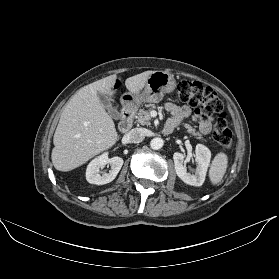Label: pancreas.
Returning <instances> with one entry per match:
<instances>
[{
    "label": "pancreas",
    "instance_id": "pancreas-1",
    "mask_svg": "<svg viewBox=\"0 0 279 279\" xmlns=\"http://www.w3.org/2000/svg\"><path fill=\"white\" fill-rule=\"evenodd\" d=\"M146 107L148 108L147 110L141 109L138 112V115L136 116L137 122L143 126H149L150 120H151V116H150V111L153 109H156V105L155 104H148L146 105ZM185 128L187 129V132L190 133L191 135H193L195 138L206 141L202 134L199 132H196V130L190 126V125H184Z\"/></svg>",
    "mask_w": 279,
    "mask_h": 279
}]
</instances>
